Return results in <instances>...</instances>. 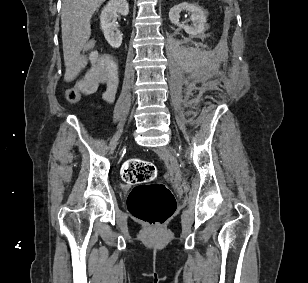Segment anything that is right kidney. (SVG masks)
I'll list each match as a JSON object with an SVG mask.
<instances>
[{
	"label": "right kidney",
	"instance_id": "1",
	"mask_svg": "<svg viewBox=\"0 0 308 283\" xmlns=\"http://www.w3.org/2000/svg\"><path fill=\"white\" fill-rule=\"evenodd\" d=\"M118 13L123 16L128 15L129 6L127 0H110L104 6L100 16V25L104 37L113 48H119L122 44V35L116 25Z\"/></svg>",
	"mask_w": 308,
	"mask_h": 283
}]
</instances>
